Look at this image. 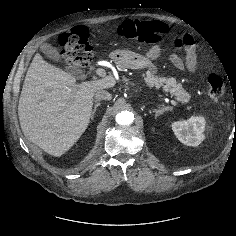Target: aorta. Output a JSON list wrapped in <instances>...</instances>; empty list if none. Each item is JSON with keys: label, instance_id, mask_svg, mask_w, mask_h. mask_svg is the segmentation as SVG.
<instances>
[{"label": "aorta", "instance_id": "1", "mask_svg": "<svg viewBox=\"0 0 236 236\" xmlns=\"http://www.w3.org/2000/svg\"><path fill=\"white\" fill-rule=\"evenodd\" d=\"M134 121V115L129 111H122L116 115V122L119 125L127 126Z\"/></svg>", "mask_w": 236, "mask_h": 236}]
</instances>
